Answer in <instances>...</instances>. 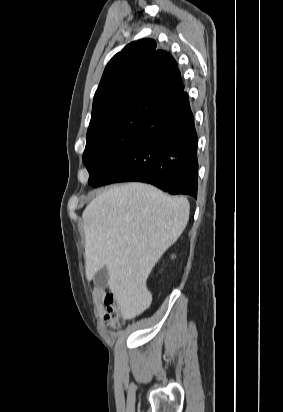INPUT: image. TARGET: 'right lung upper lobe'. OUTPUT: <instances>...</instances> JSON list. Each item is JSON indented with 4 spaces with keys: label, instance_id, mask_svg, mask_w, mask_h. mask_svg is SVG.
I'll list each match as a JSON object with an SVG mask.
<instances>
[{
    "label": "right lung upper lobe",
    "instance_id": "right-lung-upper-lobe-1",
    "mask_svg": "<svg viewBox=\"0 0 283 412\" xmlns=\"http://www.w3.org/2000/svg\"><path fill=\"white\" fill-rule=\"evenodd\" d=\"M180 77L171 54L156 50L154 40L131 42L107 64L90 124L134 105L164 108L184 91Z\"/></svg>",
    "mask_w": 283,
    "mask_h": 412
}]
</instances>
